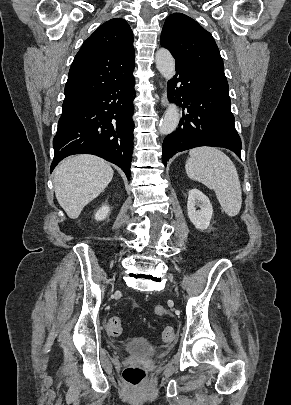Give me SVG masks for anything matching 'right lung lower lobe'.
<instances>
[{"mask_svg": "<svg viewBox=\"0 0 291 405\" xmlns=\"http://www.w3.org/2000/svg\"><path fill=\"white\" fill-rule=\"evenodd\" d=\"M135 79L115 82L89 95L59 119L50 172L72 154H94L118 165L130 179Z\"/></svg>", "mask_w": 291, "mask_h": 405, "instance_id": "98d812e1", "label": "right lung lower lobe"}]
</instances>
